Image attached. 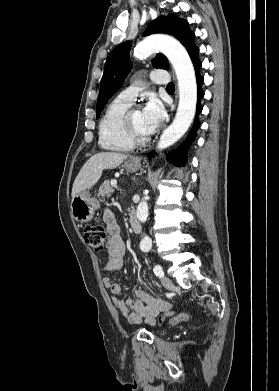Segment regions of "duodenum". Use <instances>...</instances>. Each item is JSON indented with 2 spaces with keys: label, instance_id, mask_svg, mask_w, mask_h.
<instances>
[{
  "label": "duodenum",
  "instance_id": "obj_1",
  "mask_svg": "<svg viewBox=\"0 0 279 391\" xmlns=\"http://www.w3.org/2000/svg\"><path fill=\"white\" fill-rule=\"evenodd\" d=\"M129 222L133 233L139 234L142 231L141 224L134 211L129 212Z\"/></svg>",
  "mask_w": 279,
  "mask_h": 391
}]
</instances>
